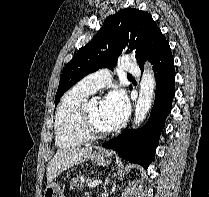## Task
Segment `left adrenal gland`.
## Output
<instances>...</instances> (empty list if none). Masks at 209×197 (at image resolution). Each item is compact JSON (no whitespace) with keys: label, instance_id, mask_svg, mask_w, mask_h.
I'll list each match as a JSON object with an SVG mask.
<instances>
[{"label":"left adrenal gland","instance_id":"obj_1","mask_svg":"<svg viewBox=\"0 0 209 197\" xmlns=\"http://www.w3.org/2000/svg\"><path fill=\"white\" fill-rule=\"evenodd\" d=\"M108 182H109V179L107 178L106 181H105V185H104L105 189L107 188L106 186L108 185Z\"/></svg>","mask_w":209,"mask_h":197}]
</instances>
